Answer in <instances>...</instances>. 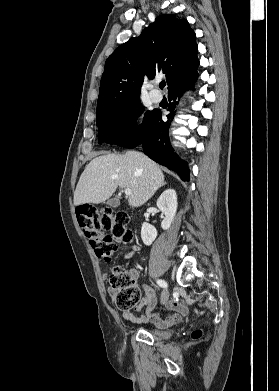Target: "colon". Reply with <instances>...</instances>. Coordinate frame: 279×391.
<instances>
[{"label":"colon","instance_id":"5ec220e1","mask_svg":"<svg viewBox=\"0 0 279 391\" xmlns=\"http://www.w3.org/2000/svg\"><path fill=\"white\" fill-rule=\"evenodd\" d=\"M77 220L95 255L105 262H110L117 251L116 242H128L132 239V231L128 227L130 217L124 211H97L94 207L87 206L77 212ZM109 281L119 309L130 310L139 304L140 289L128 272L116 267L112 270ZM201 334L200 330H196L192 333V338L198 339Z\"/></svg>","mask_w":279,"mask_h":391}]
</instances>
